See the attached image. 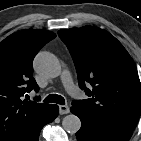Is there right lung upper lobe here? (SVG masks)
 <instances>
[{
	"label": "right lung upper lobe",
	"mask_w": 141,
	"mask_h": 141,
	"mask_svg": "<svg viewBox=\"0 0 141 141\" xmlns=\"http://www.w3.org/2000/svg\"><path fill=\"white\" fill-rule=\"evenodd\" d=\"M56 35L46 30H23L0 43V141H16L48 111L50 105L21 100L25 92L39 90L33 59Z\"/></svg>",
	"instance_id": "obj_1"
}]
</instances>
